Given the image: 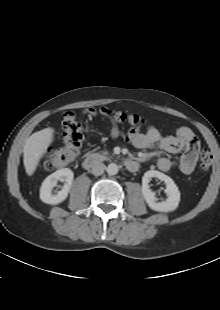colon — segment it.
Listing matches in <instances>:
<instances>
[{
	"instance_id": "5ec220e1",
	"label": "colon",
	"mask_w": 220,
	"mask_h": 310,
	"mask_svg": "<svg viewBox=\"0 0 220 310\" xmlns=\"http://www.w3.org/2000/svg\"><path fill=\"white\" fill-rule=\"evenodd\" d=\"M115 121H128L134 126L145 124V119L137 114L127 116L123 112L110 111ZM63 145L50 149L43 161V167L47 170L67 166L73 163L80 153L84 141L83 125L72 112H67L62 120ZM213 161V156L208 150H202L199 157V165L202 170H208Z\"/></svg>"
}]
</instances>
